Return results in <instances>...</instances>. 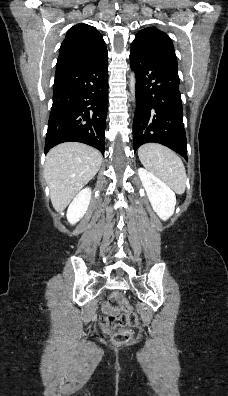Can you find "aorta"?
<instances>
[{"label":"aorta","mask_w":228,"mask_h":396,"mask_svg":"<svg viewBox=\"0 0 228 396\" xmlns=\"http://www.w3.org/2000/svg\"><path fill=\"white\" fill-rule=\"evenodd\" d=\"M130 92H131L132 102L135 104L136 78L134 72L130 74Z\"/></svg>","instance_id":"762f6f07"}]
</instances>
